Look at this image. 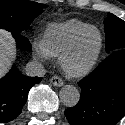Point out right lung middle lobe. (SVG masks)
<instances>
[{"instance_id": "right-lung-middle-lobe-1", "label": "right lung middle lobe", "mask_w": 125, "mask_h": 125, "mask_svg": "<svg viewBox=\"0 0 125 125\" xmlns=\"http://www.w3.org/2000/svg\"><path fill=\"white\" fill-rule=\"evenodd\" d=\"M46 5L24 0H0V28L13 34L26 30Z\"/></svg>"}]
</instances>
